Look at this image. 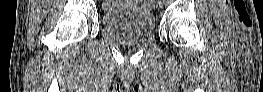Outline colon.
Wrapping results in <instances>:
<instances>
[{"instance_id":"obj_1","label":"colon","mask_w":263,"mask_h":92,"mask_svg":"<svg viewBox=\"0 0 263 92\" xmlns=\"http://www.w3.org/2000/svg\"><path fill=\"white\" fill-rule=\"evenodd\" d=\"M144 2H147V3H152L153 1H144ZM112 4V3H111Z\"/></svg>"}]
</instances>
